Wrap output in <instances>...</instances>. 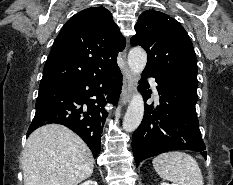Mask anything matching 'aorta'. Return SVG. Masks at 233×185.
Returning a JSON list of instances; mask_svg holds the SVG:
<instances>
[{
  "instance_id": "1",
  "label": "aorta",
  "mask_w": 233,
  "mask_h": 185,
  "mask_svg": "<svg viewBox=\"0 0 233 185\" xmlns=\"http://www.w3.org/2000/svg\"><path fill=\"white\" fill-rule=\"evenodd\" d=\"M146 63L147 54L144 49L140 47H134L129 51L128 65L132 75H140L144 70ZM143 115L144 100L142 95L136 89L123 119V130L126 132H133L136 130L143 119Z\"/></svg>"
}]
</instances>
